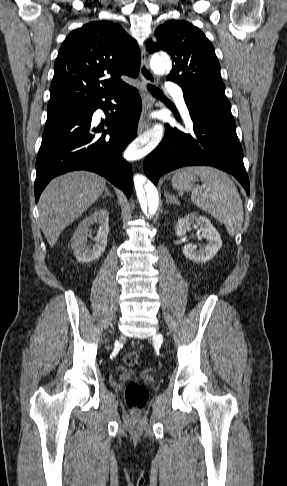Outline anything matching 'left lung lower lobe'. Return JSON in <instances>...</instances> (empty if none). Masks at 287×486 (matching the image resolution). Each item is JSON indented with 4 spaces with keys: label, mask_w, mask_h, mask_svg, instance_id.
Here are the masks:
<instances>
[{
    "label": "left lung lower lobe",
    "mask_w": 287,
    "mask_h": 486,
    "mask_svg": "<svg viewBox=\"0 0 287 486\" xmlns=\"http://www.w3.org/2000/svg\"><path fill=\"white\" fill-rule=\"evenodd\" d=\"M193 129L190 133L166 126L162 142L144 161L147 177L157 184L160 176L183 166L209 165L231 173L249 195V178L234 123L205 113L187 102ZM179 119V117H177Z\"/></svg>",
    "instance_id": "obj_1"
}]
</instances>
